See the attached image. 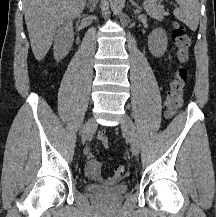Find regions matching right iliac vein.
Here are the masks:
<instances>
[{"label":"right iliac vein","instance_id":"right-iliac-vein-1","mask_svg":"<svg viewBox=\"0 0 216 217\" xmlns=\"http://www.w3.org/2000/svg\"><path fill=\"white\" fill-rule=\"evenodd\" d=\"M96 126L97 124L93 118L87 120L82 129L81 138L83 142H85L87 138L95 131Z\"/></svg>","mask_w":216,"mask_h":217}]
</instances>
